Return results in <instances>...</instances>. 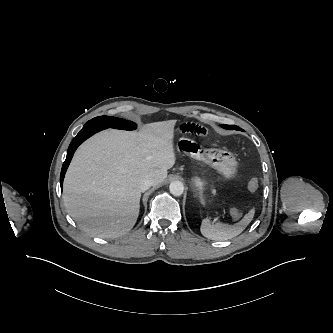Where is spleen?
<instances>
[{
	"label": "spleen",
	"instance_id": "obj_1",
	"mask_svg": "<svg viewBox=\"0 0 333 333\" xmlns=\"http://www.w3.org/2000/svg\"><path fill=\"white\" fill-rule=\"evenodd\" d=\"M233 215L237 214L235 209H232ZM255 210L251 209L243 219L235 225H228L223 223H211L209 219H204L201 223L200 231L204 237L212 240H228L236 237L248 226L254 217Z\"/></svg>",
	"mask_w": 333,
	"mask_h": 333
}]
</instances>
